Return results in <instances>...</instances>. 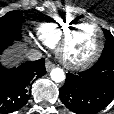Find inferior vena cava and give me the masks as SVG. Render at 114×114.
Segmentation results:
<instances>
[{
	"instance_id": "inferior-vena-cava-1",
	"label": "inferior vena cava",
	"mask_w": 114,
	"mask_h": 114,
	"mask_svg": "<svg viewBox=\"0 0 114 114\" xmlns=\"http://www.w3.org/2000/svg\"><path fill=\"white\" fill-rule=\"evenodd\" d=\"M26 57H27V59H29L31 61H35V60H39L42 58V53L40 51L32 49L26 53Z\"/></svg>"
}]
</instances>
